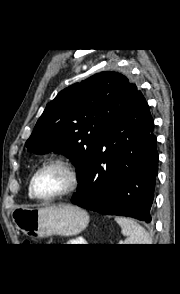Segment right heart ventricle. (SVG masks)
I'll return each mask as SVG.
<instances>
[{"label": "right heart ventricle", "mask_w": 180, "mask_h": 294, "mask_svg": "<svg viewBox=\"0 0 180 294\" xmlns=\"http://www.w3.org/2000/svg\"><path fill=\"white\" fill-rule=\"evenodd\" d=\"M28 189H29V192H30V184H29V188Z\"/></svg>", "instance_id": "obj_1"}]
</instances>
